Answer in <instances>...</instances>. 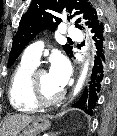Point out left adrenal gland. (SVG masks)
<instances>
[{
    "mask_svg": "<svg viewBox=\"0 0 117 136\" xmlns=\"http://www.w3.org/2000/svg\"><path fill=\"white\" fill-rule=\"evenodd\" d=\"M58 135V133H56V134H54V133H51V135L50 136H57Z\"/></svg>",
    "mask_w": 117,
    "mask_h": 136,
    "instance_id": "left-adrenal-gland-1",
    "label": "left adrenal gland"
}]
</instances>
